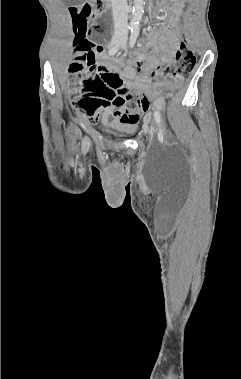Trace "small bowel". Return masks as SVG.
I'll return each instance as SVG.
<instances>
[{
	"label": "small bowel",
	"instance_id": "obj_1",
	"mask_svg": "<svg viewBox=\"0 0 241 379\" xmlns=\"http://www.w3.org/2000/svg\"><path fill=\"white\" fill-rule=\"evenodd\" d=\"M169 2L170 9L168 24L161 29L157 36L150 39V44L153 45L155 54L160 61L165 63L172 61L173 53L180 44L182 34L180 27V10L183 0H169ZM154 62V59L149 61V63L143 68V75L138 78L132 67L127 68L122 76L127 80L129 85L146 87L147 74L152 70ZM119 77L129 90L127 95L121 94L116 97L104 118L111 115L118 125L133 130L136 128L142 116L147 115L148 110H150L152 106L151 101H148V96L151 95V90L141 88L130 89L128 84L124 82L123 78L120 75ZM156 104L159 105L160 100H158Z\"/></svg>",
	"mask_w": 241,
	"mask_h": 379
}]
</instances>
